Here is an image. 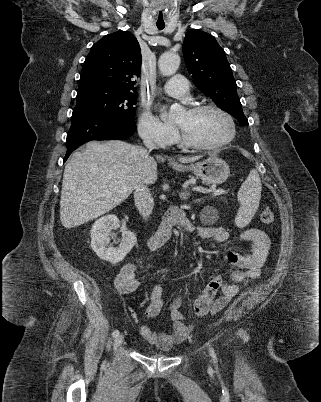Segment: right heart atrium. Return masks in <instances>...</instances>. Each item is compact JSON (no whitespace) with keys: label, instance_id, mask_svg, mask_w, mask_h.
<instances>
[{"label":"right heart atrium","instance_id":"right-heart-atrium-1","mask_svg":"<svg viewBox=\"0 0 321 402\" xmlns=\"http://www.w3.org/2000/svg\"><path fill=\"white\" fill-rule=\"evenodd\" d=\"M138 132L146 143L161 148L172 145L177 138V132L172 126L161 122L147 110L139 118Z\"/></svg>","mask_w":321,"mask_h":402}]
</instances>
